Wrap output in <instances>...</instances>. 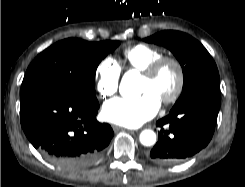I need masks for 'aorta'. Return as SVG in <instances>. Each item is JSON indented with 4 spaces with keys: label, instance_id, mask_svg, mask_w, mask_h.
Listing matches in <instances>:
<instances>
[{
    "label": "aorta",
    "instance_id": "1",
    "mask_svg": "<svg viewBox=\"0 0 245 187\" xmlns=\"http://www.w3.org/2000/svg\"><path fill=\"white\" fill-rule=\"evenodd\" d=\"M138 77H131L126 73L120 83V94L128 100H136L140 97ZM140 142L144 146H152L156 142V134L152 130H143L140 134Z\"/></svg>",
    "mask_w": 245,
    "mask_h": 187
}]
</instances>
